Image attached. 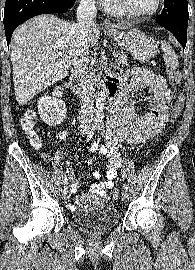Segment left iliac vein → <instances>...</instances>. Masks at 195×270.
Returning <instances> with one entry per match:
<instances>
[{
	"instance_id": "left-iliac-vein-1",
	"label": "left iliac vein",
	"mask_w": 195,
	"mask_h": 270,
	"mask_svg": "<svg viewBox=\"0 0 195 270\" xmlns=\"http://www.w3.org/2000/svg\"><path fill=\"white\" fill-rule=\"evenodd\" d=\"M122 200L124 201V202H127L128 201V199H129V195H128V192L127 191H125V190H123V192H122Z\"/></svg>"
}]
</instances>
